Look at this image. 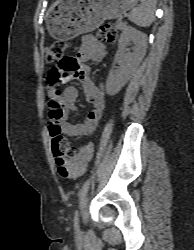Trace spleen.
<instances>
[{"label": "spleen", "instance_id": "spleen-1", "mask_svg": "<svg viewBox=\"0 0 194 250\" xmlns=\"http://www.w3.org/2000/svg\"><path fill=\"white\" fill-rule=\"evenodd\" d=\"M141 5L134 8L129 20L140 27H148L154 21V11L156 7V0H140Z\"/></svg>", "mask_w": 194, "mask_h": 250}]
</instances>
